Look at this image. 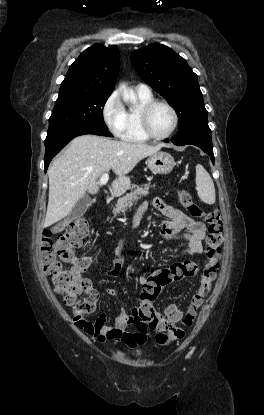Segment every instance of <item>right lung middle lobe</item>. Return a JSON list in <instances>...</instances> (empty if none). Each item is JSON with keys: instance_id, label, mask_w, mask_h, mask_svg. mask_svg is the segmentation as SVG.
<instances>
[{"instance_id": "dd1d6c3e", "label": "right lung middle lobe", "mask_w": 264, "mask_h": 415, "mask_svg": "<svg viewBox=\"0 0 264 415\" xmlns=\"http://www.w3.org/2000/svg\"><path fill=\"white\" fill-rule=\"evenodd\" d=\"M110 94L59 95L49 118L45 143L71 131L86 128H107L103 107Z\"/></svg>"}]
</instances>
